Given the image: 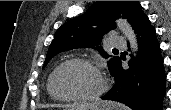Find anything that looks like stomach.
I'll return each instance as SVG.
<instances>
[{
    "label": "stomach",
    "instance_id": "stomach-1",
    "mask_svg": "<svg viewBox=\"0 0 171 110\" xmlns=\"http://www.w3.org/2000/svg\"><path fill=\"white\" fill-rule=\"evenodd\" d=\"M117 108L113 109V110H116ZM68 110H103L101 108H97L95 106H92V107H89V108H83L81 106H77V107H73L71 109H68Z\"/></svg>",
    "mask_w": 171,
    "mask_h": 110
}]
</instances>
